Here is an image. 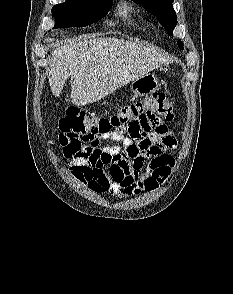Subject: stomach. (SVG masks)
Segmentation results:
<instances>
[{"label":"stomach","instance_id":"0dacf381","mask_svg":"<svg viewBox=\"0 0 233 294\" xmlns=\"http://www.w3.org/2000/svg\"><path fill=\"white\" fill-rule=\"evenodd\" d=\"M159 86L157 76L152 73L145 74L130 84V88L136 96H148L158 90Z\"/></svg>","mask_w":233,"mask_h":294}]
</instances>
